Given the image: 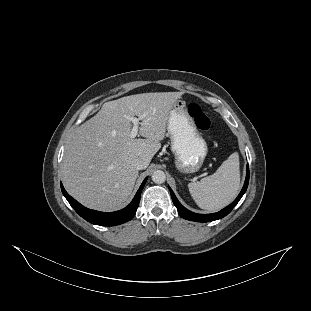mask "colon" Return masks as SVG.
Wrapping results in <instances>:
<instances>
[{"label":"colon","mask_w":311,"mask_h":311,"mask_svg":"<svg viewBox=\"0 0 311 311\" xmlns=\"http://www.w3.org/2000/svg\"><path fill=\"white\" fill-rule=\"evenodd\" d=\"M187 111L189 116L193 119L197 128L202 131L210 130L211 120L199 104L195 102L188 104Z\"/></svg>","instance_id":"1"}]
</instances>
